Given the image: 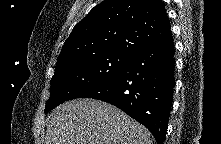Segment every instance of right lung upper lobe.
<instances>
[{
  "mask_svg": "<svg viewBox=\"0 0 221 144\" xmlns=\"http://www.w3.org/2000/svg\"><path fill=\"white\" fill-rule=\"evenodd\" d=\"M170 28L161 0H105L75 25L56 67L108 51L135 55L168 36Z\"/></svg>",
  "mask_w": 221,
  "mask_h": 144,
  "instance_id": "obj_1",
  "label": "right lung upper lobe"
}]
</instances>
